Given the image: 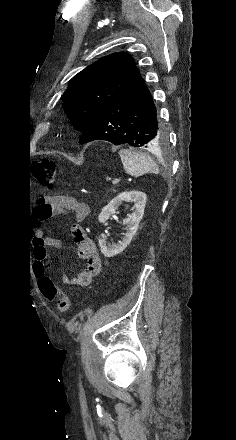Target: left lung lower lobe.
I'll use <instances>...</instances> for the list:
<instances>
[{
	"label": "left lung lower lobe",
	"instance_id": "obj_1",
	"mask_svg": "<svg viewBox=\"0 0 236 440\" xmlns=\"http://www.w3.org/2000/svg\"><path fill=\"white\" fill-rule=\"evenodd\" d=\"M165 138L153 98L140 78L102 110L79 142L106 140L115 145L153 148Z\"/></svg>",
	"mask_w": 236,
	"mask_h": 440
}]
</instances>
